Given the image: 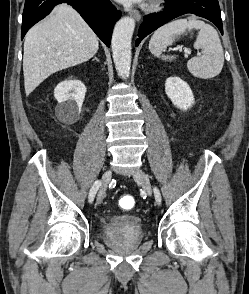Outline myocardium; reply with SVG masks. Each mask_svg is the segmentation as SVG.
<instances>
[{"instance_id":"f54148a6","label":"myocardium","mask_w":249,"mask_h":294,"mask_svg":"<svg viewBox=\"0 0 249 294\" xmlns=\"http://www.w3.org/2000/svg\"><path fill=\"white\" fill-rule=\"evenodd\" d=\"M164 0H150V8H154L157 7L161 2H163Z\"/></svg>"}]
</instances>
